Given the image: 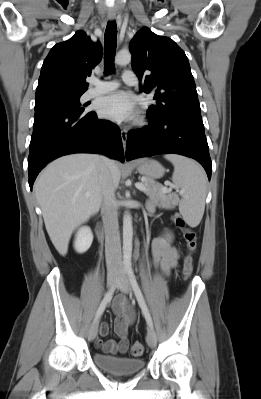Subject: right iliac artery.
<instances>
[{"label":"right iliac artery","instance_id":"right-iliac-artery-1","mask_svg":"<svg viewBox=\"0 0 261 399\" xmlns=\"http://www.w3.org/2000/svg\"><path fill=\"white\" fill-rule=\"evenodd\" d=\"M114 291H115V287L111 288L106 295L104 296L96 314H95V321H97L103 314V312L105 311L106 307L108 306V304L110 303L113 295H114Z\"/></svg>","mask_w":261,"mask_h":399}]
</instances>
